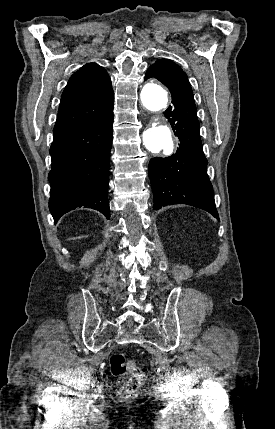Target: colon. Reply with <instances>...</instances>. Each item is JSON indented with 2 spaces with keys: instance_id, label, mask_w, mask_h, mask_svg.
<instances>
[{
  "instance_id": "1",
  "label": "colon",
  "mask_w": 275,
  "mask_h": 429,
  "mask_svg": "<svg viewBox=\"0 0 275 429\" xmlns=\"http://www.w3.org/2000/svg\"><path fill=\"white\" fill-rule=\"evenodd\" d=\"M109 365L111 373L123 380V386L119 391L120 399L123 401L134 399L139 386L146 379L143 369H141L135 361L128 359L121 353L113 354L110 357Z\"/></svg>"
}]
</instances>
